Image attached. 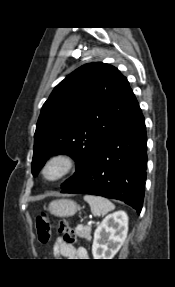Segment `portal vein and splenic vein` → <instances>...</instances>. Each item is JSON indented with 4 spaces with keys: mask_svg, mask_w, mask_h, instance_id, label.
Returning a JSON list of instances; mask_svg holds the SVG:
<instances>
[{
    "mask_svg": "<svg viewBox=\"0 0 175 287\" xmlns=\"http://www.w3.org/2000/svg\"><path fill=\"white\" fill-rule=\"evenodd\" d=\"M88 224H91V221H89V222H88ZM79 228H82V226H81V227H79Z\"/></svg>",
    "mask_w": 175,
    "mask_h": 287,
    "instance_id": "portal-vein-and-splenic-vein-1",
    "label": "portal vein and splenic vein"
}]
</instances>
